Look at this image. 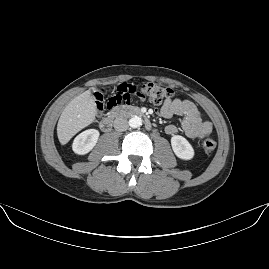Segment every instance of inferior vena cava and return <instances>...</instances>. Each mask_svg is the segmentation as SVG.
Returning <instances> with one entry per match:
<instances>
[{
  "label": "inferior vena cava",
  "mask_w": 269,
  "mask_h": 269,
  "mask_svg": "<svg viewBox=\"0 0 269 269\" xmlns=\"http://www.w3.org/2000/svg\"><path fill=\"white\" fill-rule=\"evenodd\" d=\"M114 129L118 132H123L126 131L129 127V123L127 121V119L122 118V117H118L114 120L113 123Z\"/></svg>",
  "instance_id": "obj_1"
}]
</instances>
